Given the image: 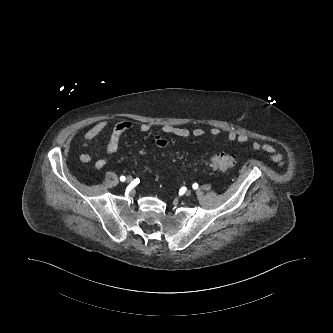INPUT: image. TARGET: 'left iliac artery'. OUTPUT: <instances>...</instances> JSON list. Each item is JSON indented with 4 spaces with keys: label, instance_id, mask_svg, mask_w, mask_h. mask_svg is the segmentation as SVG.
I'll list each match as a JSON object with an SVG mask.
<instances>
[{
    "label": "left iliac artery",
    "instance_id": "1",
    "mask_svg": "<svg viewBox=\"0 0 333 333\" xmlns=\"http://www.w3.org/2000/svg\"><path fill=\"white\" fill-rule=\"evenodd\" d=\"M192 188L196 190V189L198 188V184H197V183H194V184L192 185Z\"/></svg>",
    "mask_w": 333,
    "mask_h": 333
}]
</instances>
